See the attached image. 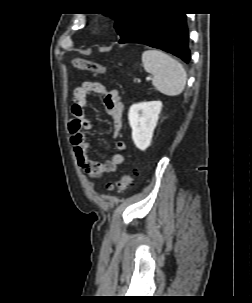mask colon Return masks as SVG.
Here are the masks:
<instances>
[{"mask_svg": "<svg viewBox=\"0 0 252 303\" xmlns=\"http://www.w3.org/2000/svg\"><path fill=\"white\" fill-rule=\"evenodd\" d=\"M72 65L77 69L86 70L93 74L99 75L106 73L104 66L90 59L78 58L73 60ZM134 176L135 170H132L124 174L116 183L108 185V189L110 191L122 192L132 183Z\"/></svg>", "mask_w": 252, "mask_h": 303, "instance_id": "obj_1", "label": "colon"}]
</instances>
